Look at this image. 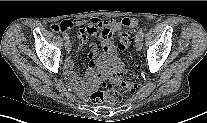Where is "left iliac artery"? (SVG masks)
Segmentation results:
<instances>
[{
	"label": "left iliac artery",
	"instance_id": "1",
	"mask_svg": "<svg viewBox=\"0 0 207 123\" xmlns=\"http://www.w3.org/2000/svg\"><path fill=\"white\" fill-rule=\"evenodd\" d=\"M143 35H144V30L141 28V29H139L137 36H140L143 38Z\"/></svg>",
	"mask_w": 207,
	"mask_h": 123
}]
</instances>
